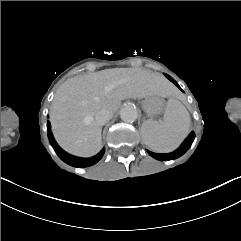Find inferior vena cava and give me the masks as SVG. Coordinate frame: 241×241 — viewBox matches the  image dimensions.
<instances>
[{
	"mask_svg": "<svg viewBox=\"0 0 241 241\" xmlns=\"http://www.w3.org/2000/svg\"><path fill=\"white\" fill-rule=\"evenodd\" d=\"M112 118V112L106 109L100 110L95 117L94 116H86L85 121L90 123L93 119L99 124L104 125L108 120Z\"/></svg>",
	"mask_w": 241,
	"mask_h": 241,
	"instance_id": "602c4592",
	"label": "inferior vena cava"
}]
</instances>
